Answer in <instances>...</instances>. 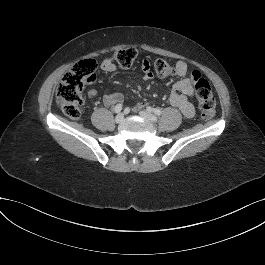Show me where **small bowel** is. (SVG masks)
<instances>
[{"mask_svg": "<svg viewBox=\"0 0 265 265\" xmlns=\"http://www.w3.org/2000/svg\"><path fill=\"white\" fill-rule=\"evenodd\" d=\"M101 68L104 71L113 72L116 70V65L110 59H105L101 63ZM175 68L180 78L173 83L169 100L173 106L179 108L184 117L190 119L195 115V105L193 101L194 88L191 81L186 78L188 65L184 61H178ZM141 70L144 80H152L154 78L148 60L145 59L142 61ZM87 95L89 98H94L97 95V90L92 88L88 91ZM121 102H123V95L121 93H108L103 96V103L105 106L111 107ZM143 106L144 104L141 103L137 108Z\"/></svg>", "mask_w": 265, "mask_h": 265, "instance_id": "obj_1", "label": "small bowel"}]
</instances>
